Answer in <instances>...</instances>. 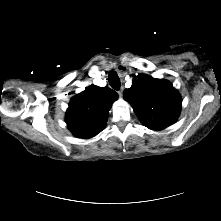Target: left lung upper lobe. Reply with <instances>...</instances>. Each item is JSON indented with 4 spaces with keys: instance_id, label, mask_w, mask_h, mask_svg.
Returning a JSON list of instances; mask_svg holds the SVG:
<instances>
[{
    "instance_id": "obj_1",
    "label": "left lung upper lobe",
    "mask_w": 221,
    "mask_h": 221,
    "mask_svg": "<svg viewBox=\"0 0 221 221\" xmlns=\"http://www.w3.org/2000/svg\"><path fill=\"white\" fill-rule=\"evenodd\" d=\"M123 97L132 105L139 120L152 130L168 127L181 110V97L173 85L147 75L135 76Z\"/></svg>"
}]
</instances>
